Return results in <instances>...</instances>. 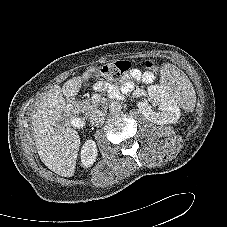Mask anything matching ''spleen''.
Masks as SVG:
<instances>
[{
  "instance_id": "obj_1",
  "label": "spleen",
  "mask_w": 227,
  "mask_h": 227,
  "mask_svg": "<svg viewBox=\"0 0 227 227\" xmlns=\"http://www.w3.org/2000/svg\"><path fill=\"white\" fill-rule=\"evenodd\" d=\"M161 87L186 111H193L196 95L187 76L174 65L166 64L161 69Z\"/></svg>"
}]
</instances>
